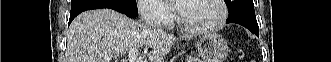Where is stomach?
<instances>
[{
	"instance_id": "0dacf381",
	"label": "stomach",
	"mask_w": 331,
	"mask_h": 62,
	"mask_svg": "<svg viewBox=\"0 0 331 62\" xmlns=\"http://www.w3.org/2000/svg\"><path fill=\"white\" fill-rule=\"evenodd\" d=\"M204 62H223L229 53L226 40L217 33H208L195 44Z\"/></svg>"
}]
</instances>
